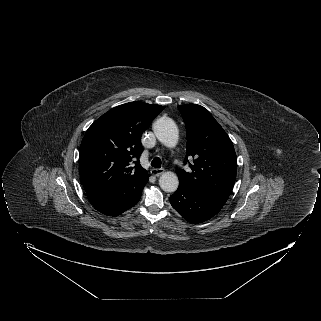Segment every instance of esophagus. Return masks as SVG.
<instances>
[{"label":"esophagus","instance_id":"esophagus-1","mask_svg":"<svg viewBox=\"0 0 321 321\" xmlns=\"http://www.w3.org/2000/svg\"><path fill=\"white\" fill-rule=\"evenodd\" d=\"M164 169L163 168H153L152 170H151V173L153 174V175H155V176H160L161 174H163L164 173Z\"/></svg>","mask_w":321,"mask_h":321}]
</instances>
